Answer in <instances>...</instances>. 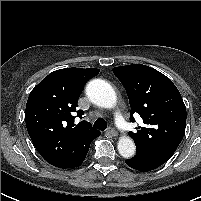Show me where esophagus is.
Returning a JSON list of instances; mask_svg holds the SVG:
<instances>
[{"label": "esophagus", "mask_w": 201, "mask_h": 201, "mask_svg": "<svg viewBox=\"0 0 201 201\" xmlns=\"http://www.w3.org/2000/svg\"><path fill=\"white\" fill-rule=\"evenodd\" d=\"M106 134L109 135V136H111V137L117 136V132L113 128H111V127H109L106 130Z\"/></svg>", "instance_id": "obj_1"}]
</instances>
